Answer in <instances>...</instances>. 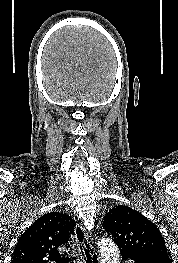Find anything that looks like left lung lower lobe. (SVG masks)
Here are the masks:
<instances>
[{"mask_svg":"<svg viewBox=\"0 0 178 263\" xmlns=\"http://www.w3.org/2000/svg\"><path fill=\"white\" fill-rule=\"evenodd\" d=\"M122 259L126 260L128 258L132 259L134 263H172L170 259L160 258V257H138V258H131L127 254L121 253Z\"/></svg>","mask_w":178,"mask_h":263,"instance_id":"0a47b994","label":"left lung lower lobe"}]
</instances>
